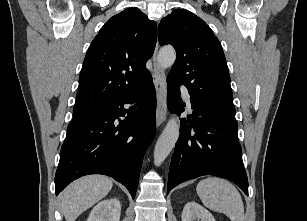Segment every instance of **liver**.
Segmentation results:
<instances>
[{
    "instance_id": "6515ba94",
    "label": "liver",
    "mask_w": 307,
    "mask_h": 221,
    "mask_svg": "<svg viewBox=\"0 0 307 221\" xmlns=\"http://www.w3.org/2000/svg\"><path fill=\"white\" fill-rule=\"evenodd\" d=\"M112 180L102 175H90L72 182L61 194V210L66 221L77 217L103 199L112 189Z\"/></svg>"
}]
</instances>
